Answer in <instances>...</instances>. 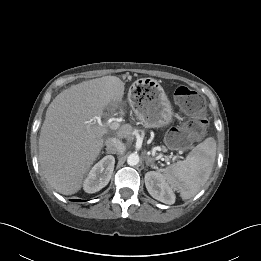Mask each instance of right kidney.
<instances>
[{
    "instance_id": "obj_1",
    "label": "right kidney",
    "mask_w": 261,
    "mask_h": 261,
    "mask_svg": "<svg viewBox=\"0 0 261 261\" xmlns=\"http://www.w3.org/2000/svg\"><path fill=\"white\" fill-rule=\"evenodd\" d=\"M115 158L107 155L96 163L84 181L83 189L87 193H95L105 187L112 176Z\"/></svg>"
}]
</instances>
